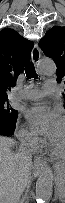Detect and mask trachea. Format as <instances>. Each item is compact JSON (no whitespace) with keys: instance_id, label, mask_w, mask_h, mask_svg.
<instances>
[{"instance_id":"obj_1","label":"trachea","mask_w":65,"mask_h":203,"mask_svg":"<svg viewBox=\"0 0 65 203\" xmlns=\"http://www.w3.org/2000/svg\"><path fill=\"white\" fill-rule=\"evenodd\" d=\"M25 73L28 79L35 78L37 79V74L35 71V67L32 62H29L25 66Z\"/></svg>"}]
</instances>
